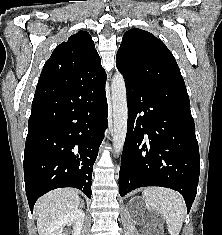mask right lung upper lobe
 <instances>
[{
	"mask_svg": "<svg viewBox=\"0 0 222 235\" xmlns=\"http://www.w3.org/2000/svg\"><path fill=\"white\" fill-rule=\"evenodd\" d=\"M103 74L105 71L92 38L87 31L81 30L55 48L43 67L38 84L72 85ZM46 117L29 118V121H38Z\"/></svg>",
	"mask_w": 222,
	"mask_h": 235,
	"instance_id": "1",
	"label": "right lung upper lobe"
}]
</instances>
